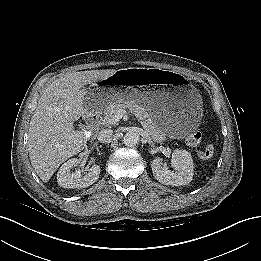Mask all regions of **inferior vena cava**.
I'll return each mask as SVG.
<instances>
[{"mask_svg": "<svg viewBox=\"0 0 261 261\" xmlns=\"http://www.w3.org/2000/svg\"><path fill=\"white\" fill-rule=\"evenodd\" d=\"M113 134V131L111 129H103L98 133V140L101 143L108 142Z\"/></svg>", "mask_w": 261, "mask_h": 261, "instance_id": "602c4592", "label": "inferior vena cava"}]
</instances>
